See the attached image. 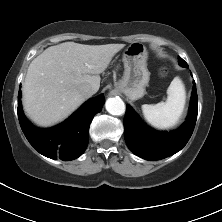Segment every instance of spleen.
Instances as JSON below:
<instances>
[{
  "label": "spleen",
  "mask_w": 222,
  "mask_h": 222,
  "mask_svg": "<svg viewBox=\"0 0 222 222\" xmlns=\"http://www.w3.org/2000/svg\"><path fill=\"white\" fill-rule=\"evenodd\" d=\"M166 102L142 105L146 121L158 129L174 127L182 117L186 102V92L179 77H175L167 89Z\"/></svg>",
  "instance_id": "spleen-1"
}]
</instances>
